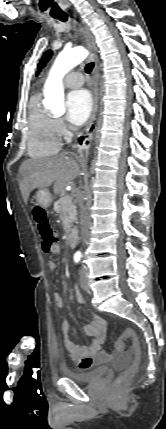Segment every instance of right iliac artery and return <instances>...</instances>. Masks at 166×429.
Returning a JSON list of instances; mask_svg holds the SVG:
<instances>
[{
  "label": "right iliac artery",
  "instance_id": "right-iliac-artery-1",
  "mask_svg": "<svg viewBox=\"0 0 166 429\" xmlns=\"http://www.w3.org/2000/svg\"><path fill=\"white\" fill-rule=\"evenodd\" d=\"M80 259H81V255L80 254H75L74 255V262L75 263H78L80 261Z\"/></svg>",
  "mask_w": 166,
  "mask_h": 429
}]
</instances>
